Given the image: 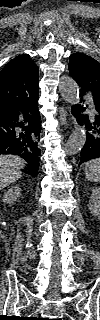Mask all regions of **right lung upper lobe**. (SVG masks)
I'll return each mask as SVG.
<instances>
[{
	"mask_svg": "<svg viewBox=\"0 0 100 320\" xmlns=\"http://www.w3.org/2000/svg\"><path fill=\"white\" fill-rule=\"evenodd\" d=\"M38 92V67L23 54L0 72V109L13 106Z\"/></svg>",
	"mask_w": 100,
	"mask_h": 320,
	"instance_id": "1",
	"label": "right lung upper lobe"
}]
</instances>
